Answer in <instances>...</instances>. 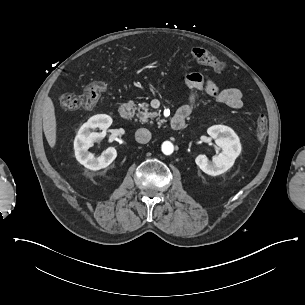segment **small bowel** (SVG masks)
Segmentation results:
<instances>
[{
  "mask_svg": "<svg viewBox=\"0 0 305 305\" xmlns=\"http://www.w3.org/2000/svg\"><path fill=\"white\" fill-rule=\"evenodd\" d=\"M185 81L191 93L187 102L178 109V112L185 113L186 116L191 114L198 96L202 92L214 97L217 101L233 110H238L243 105L242 94L239 89L233 87L222 89L205 74L198 72L189 73Z\"/></svg>",
  "mask_w": 305,
  "mask_h": 305,
  "instance_id": "obj_1",
  "label": "small bowel"
}]
</instances>
